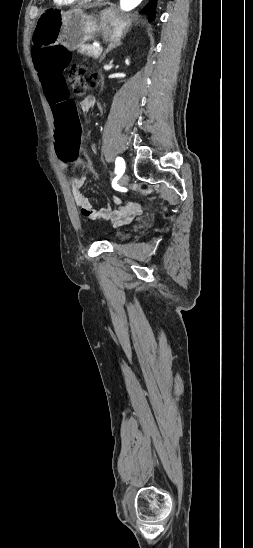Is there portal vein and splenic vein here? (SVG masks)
Segmentation results:
<instances>
[{
    "mask_svg": "<svg viewBox=\"0 0 253 548\" xmlns=\"http://www.w3.org/2000/svg\"><path fill=\"white\" fill-rule=\"evenodd\" d=\"M98 50L102 51V47L99 46V47H98Z\"/></svg>",
    "mask_w": 253,
    "mask_h": 548,
    "instance_id": "portal-vein-and-splenic-vein-1",
    "label": "portal vein and splenic vein"
}]
</instances>
